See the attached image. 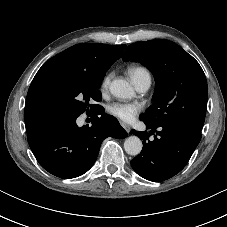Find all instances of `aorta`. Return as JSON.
Here are the masks:
<instances>
[{
	"label": "aorta",
	"instance_id": "1",
	"mask_svg": "<svg viewBox=\"0 0 227 227\" xmlns=\"http://www.w3.org/2000/svg\"><path fill=\"white\" fill-rule=\"evenodd\" d=\"M112 95L122 99H130L135 92L132 86L124 79H115L110 84ZM143 144L137 136H130L124 142V149L127 154L136 156L142 150Z\"/></svg>",
	"mask_w": 227,
	"mask_h": 227
}]
</instances>
